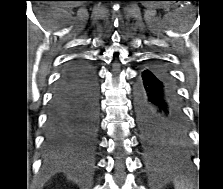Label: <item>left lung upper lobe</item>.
<instances>
[{"mask_svg":"<svg viewBox=\"0 0 223 189\" xmlns=\"http://www.w3.org/2000/svg\"><path fill=\"white\" fill-rule=\"evenodd\" d=\"M140 130L146 148L153 153L178 148L185 142V139L172 135L164 127H145L140 125Z\"/></svg>","mask_w":223,"mask_h":189,"instance_id":"obj_1","label":"left lung upper lobe"}]
</instances>
